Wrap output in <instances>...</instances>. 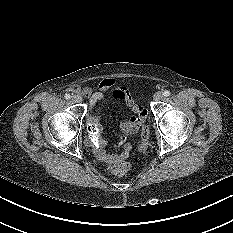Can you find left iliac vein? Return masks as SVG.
<instances>
[{
	"label": "left iliac vein",
	"mask_w": 233,
	"mask_h": 233,
	"mask_svg": "<svg viewBox=\"0 0 233 233\" xmlns=\"http://www.w3.org/2000/svg\"><path fill=\"white\" fill-rule=\"evenodd\" d=\"M162 99H163V93H161V92H157V93H155L154 96H153V100H154V101H160V100H162Z\"/></svg>",
	"instance_id": "left-iliac-vein-1"
}]
</instances>
